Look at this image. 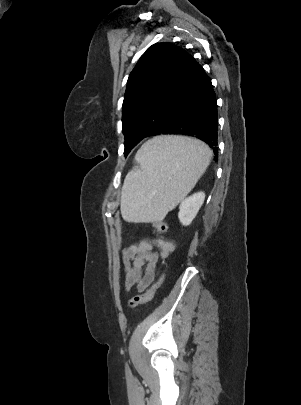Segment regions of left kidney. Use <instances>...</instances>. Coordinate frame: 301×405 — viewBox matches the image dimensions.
I'll list each match as a JSON object with an SVG mask.
<instances>
[{
  "label": "left kidney",
  "mask_w": 301,
  "mask_h": 405,
  "mask_svg": "<svg viewBox=\"0 0 301 405\" xmlns=\"http://www.w3.org/2000/svg\"><path fill=\"white\" fill-rule=\"evenodd\" d=\"M205 199L204 192H197L182 200L179 206L178 218L183 226L191 224Z\"/></svg>",
  "instance_id": "obj_1"
}]
</instances>
